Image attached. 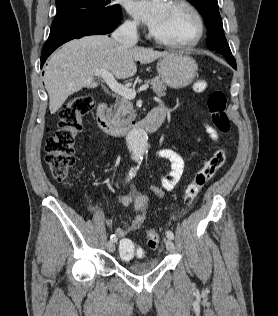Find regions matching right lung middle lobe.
<instances>
[{
    "mask_svg": "<svg viewBox=\"0 0 278 316\" xmlns=\"http://www.w3.org/2000/svg\"><path fill=\"white\" fill-rule=\"evenodd\" d=\"M57 15L52 25L94 15L116 13L119 5L110 4V0H56Z\"/></svg>",
    "mask_w": 278,
    "mask_h": 316,
    "instance_id": "right-lung-middle-lobe-1",
    "label": "right lung middle lobe"
}]
</instances>
